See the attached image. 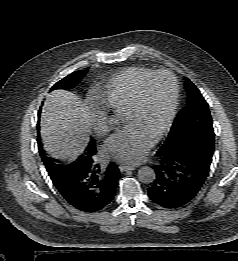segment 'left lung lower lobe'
<instances>
[{"instance_id": "1", "label": "left lung lower lobe", "mask_w": 238, "mask_h": 261, "mask_svg": "<svg viewBox=\"0 0 238 261\" xmlns=\"http://www.w3.org/2000/svg\"><path fill=\"white\" fill-rule=\"evenodd\" d=\"M204 138L176 149L158 150V164L152 166L156 178L148 188L149 198L156 204L169 209L190 202L204 184L212 161L214 138Z\"/></svg>"}]
</instances>
